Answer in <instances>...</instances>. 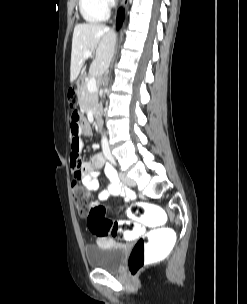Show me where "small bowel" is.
I'll return each mask as SVG.
<instances>
[{"instance_id": "c3829d8e", "label": "small bowel", "mask_w": 247, "mask_h": 304, "mask_svg": "<svg viewBox=\"0 0 247 304\" xmlns=\"http://www.w3.org/2000/svg\"><path fill=\"white\" fill-rule=\"evenodd\" d=\"M71 119H82V112H71ZM70 132L71 152L69 153V158L71 159L74 177L82 183L84 189L90 192H95L99 189V170L104 168L109 184L99 193V201H106L111 196H123L126 200L134 198V193L123 188L119 183L114 167L105 162L103 155L97 154L88 161H83V143L81 138L83 134L86 136L91 134L88 123L83 120H72Z\"/></svg>"}]
</instances>
